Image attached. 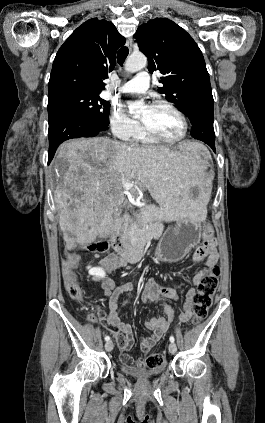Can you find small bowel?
<instances>
[{
	"label": "small bowel",
	"instance_id": "obj_1",
	"mask_svg": "<svg viewBox=\"0 0 265 423\" xmlns=\"http://www.w3.org/2000/svg\"><path fill=\"white\" fill-rule=\"evenodd\" d=\"M193 260L195 262L205 260V266L192 279V284L194 286H199L202 279L207 275L209 268L218 261L216 242L212 236L206 245L203 244L197 248L193 255ZM124 264L125 263L115 254L107 255L100 262L106 274L102 279V288L108 300L109 310L106 319V328L117 342L121 352V362L129 367H142L144 363L142 360H133L128 354L134 343V339L131 326L125 323L121 317L123 309L129 302V294L133 290V285L131 283H124L115 287L113 280L108 277L109 274ZM180 291L181 285L178 283L164 285L155 280H151L142 292L141 299L144 303L155 304L162 310L163 314L167 316V318L159 316L146 320L145 326L149 331V335L140 340V349L142 352L147 353L152 349L157 341L168 331L170 323H186L190 320L196 294L195 288H190L186 292V300L183 309L178 315H175L170 306L162 300V297H167L178 301L180 299ZM120 295H124L121 304L118 303Z\"/></svg>",
	"mask_w": 265,
	"mask_h": 423
}]
</instances>
